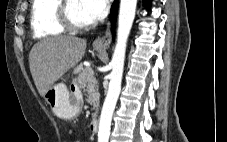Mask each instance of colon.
Wrapping results in <instances>:
<instances>
[{"mask_svg":"<svg viewBox=\"0 0 227 142\" xmlns=\"http://www.w3.org/2000/svg\"><path fill=\"white\" fill-rule=\"evenodd\" d=\"M72 142H82V140H80V139H75V140H73Z\"/></svg>","mask_w":227,"mask_h":142,"instance_id":"5ec220e1","label":"colon"}]
</instances>
